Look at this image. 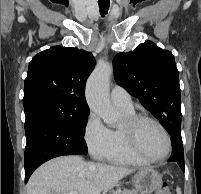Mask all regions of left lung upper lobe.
<instances>
[{
  "instance_id": "obj_1",
  "label": "left lung upper lobe",
  "mask_w": 201,
  "mask_h": 194,
  "mask_svg": "<svg viewBox=\"0 0 201 194\" xmlns=\"http://www.w3.org/2000/svg\"><path fill=\"white\" fill-rule=\"evenodd\" d=\"M116 82L148 109L170 133L181 130V90L172 53L147 41L113 59Z\"/></svg>"
}]
</instances>
